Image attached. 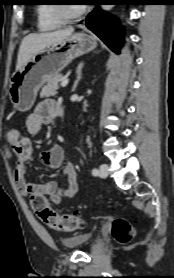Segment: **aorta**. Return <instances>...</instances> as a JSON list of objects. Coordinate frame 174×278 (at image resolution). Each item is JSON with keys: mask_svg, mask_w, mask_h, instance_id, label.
I'll return each mask as SVG.
<instances>
[{"mask_svg": "<svg viewBox=\"0 0 174 278\" xmlns=\"http://www.w3.org/2000/svg\"><path fill=\"white\" fill-rule=\"evenodd\" d=\"M110 8H111V5H104V6H103V9H104V10H109Z\"/></svg>", "mask_w": 174, "mask_h": 278, "instance_id": "1", "label": "aorta"}]
</instances>
